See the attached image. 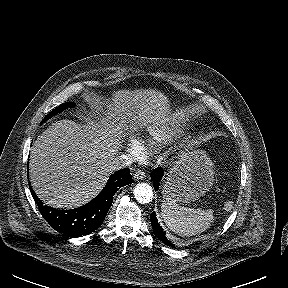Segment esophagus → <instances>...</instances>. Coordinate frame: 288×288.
<instances>
[{
	"label": "esophagus",
	"mask_w": 288,
	"mask_h": 288,
	"mask_svg": "<svg viewBox=\"0 0 288 288\" xmlns=\"http://www.w3.org/2000/svg\"><path fill=\"white\" fill-rule=\"evenodd\" d=\"M133 177L135 180H142L146 177V173L139 170L133 174Z\"/></svg>",
	"instance_id": "34e87169"
}]
</instances>
